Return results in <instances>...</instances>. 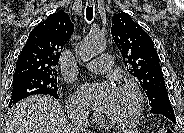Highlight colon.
Returning <instances> with one entry per match:
<instances>
[{
  "label": "colon",
  "instance_id": "colon-1",
  "mask_svg": "<svg viewBox=\"0 0 184 133\" xmlns=\"http://www.w3.org/2000/svg\"><path fill=\"white\" fill-rule=\"evenodd\" d=\"M160 132H162V133H171L172 131L169 128H164Z\"/></svg>",
  "mask_w": 184,
  "mask_h": 133
}]
</instances>
